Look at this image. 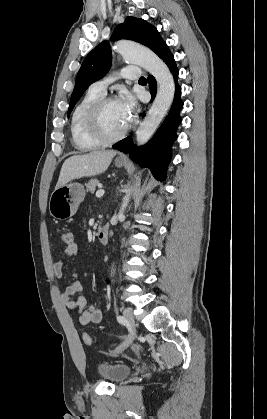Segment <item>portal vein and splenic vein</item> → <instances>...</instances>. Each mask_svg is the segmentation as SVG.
<instances>
[{
    "mask_svg": "<svg viewBox=\"0 0 267 419\" xmlns=\"http://www.w3.org/2000/svg\"><path fill=\"white\" fill-rule=\"evenodd\" d=\"M104 193H105V191L104 190H102V189H100V190H98L97 192H96V197H102L103 195H104Z\"/></svg>",
    "mask_w": 267,
    "mask_h": 419,
    "instance_id": "1",
    "label": "portal vein and splenic vein"
}]
</instances>
